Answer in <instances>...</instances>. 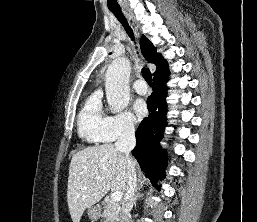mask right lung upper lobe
Segmentation results:
<instances>
[{"label": "right lung upper lobe", "mask_w": 257, "mask_h": 222, "mask_svg": "<svg viewBox=\"0 0 257 222\" xmlns=\"http://www.w3.org/2000/svg\"><path fill=\"white\" fill-rule=\"evenodd\" d=\"M140 47L144 58L156 65V71L154 72V76L162 74L168 71V64L163 57L156 53V47L143 35L140 40Z\"/></svg>", "instance_id": "1"}]
</instances>
